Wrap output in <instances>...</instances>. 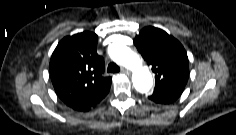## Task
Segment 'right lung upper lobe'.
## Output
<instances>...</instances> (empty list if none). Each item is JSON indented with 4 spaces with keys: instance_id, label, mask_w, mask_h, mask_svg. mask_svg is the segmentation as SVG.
Instances as JSON below:
<instances>
[{
    "instance_id": "1",
    "label": "right lung upper lobe",
    "mask_w": 236,
    "mask_h": 135,
    "mask_svg": "<svg viewBox=\"0 0 236 135\" xmlns=\"http://www.w3.org/2000/svg\"><path fill=\"white\" fill-rule=\"evenodd\" d=\"M98 36L82 32L63 38L50 60L54 89L63 102L91 98L111 85L104 77V59L96 53Z\"/></svg>"
}]
</instances>
